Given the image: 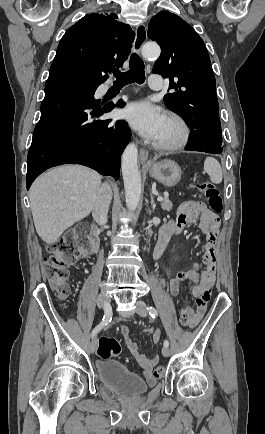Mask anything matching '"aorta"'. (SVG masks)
Instances as JSON below:
<instances>
[{
	"label": "aorta",
	"instance_id": "obj_1",
	"mask_svg": "<svg viewBox=\"0 0 265 434\" xmlns=\"http://www.w3.org/2000/svg\"><path fill=\"white\" fill-rule=\"evenodd\" d=\"M143 58H157L160 48L157 44H144L141 48ZM138 150L135 144H128L122 154V174L125 188L126 206L135 212L141 196V174L138 170Z\"/></svg>",
	"mask_w": 265,
	"mask_h": 434
}]
</instances>
